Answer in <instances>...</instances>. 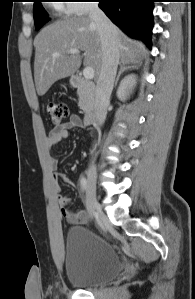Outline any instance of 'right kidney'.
<instances>
[{
	"mask_svg": "<svg viewBox=\"0 0 195 299\" xmlns=\"http://www.w3.org/2000/svg\"><path fill=\"white\" fill-rule=\"evenodd\" d=\"M135 84V75L131 74L121 81L118 90H117V97L121 101H125L129 94L132 92L133 86Z\"/></svg>",
	"mask_w": 195,
	"mask_h": 299,
	"instance_id": "right-kidney-1",
	"label": "right kidney"
}]
</instances>
